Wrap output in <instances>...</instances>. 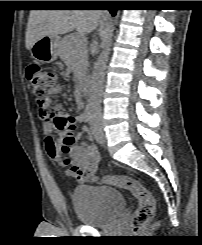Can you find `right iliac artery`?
I'll return each mask as SVG.
<instances>
[{"label":"right iliac artery","instance_id":"82829eb1","mask_svg":"<svg viewBox=\"0 0 202 245\" xmlns=\"http://www.w3.org/2000/svg\"><path fill=\"white\" fill-rule=\"evenodd\" d=\"M93 109H94L93 104L91 103L87 104L85 111L83 113V120L85 122H90L94 119Z\"/></svg>","mask_w":202,"mask_h":245}]
</instances>
